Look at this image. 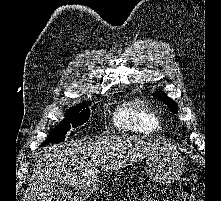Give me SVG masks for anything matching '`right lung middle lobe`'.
<instances>
[{
  "label": "right lung middle lobe",
  "instance_id": "obj_1",
  "mask_svg": "<svg viewBox=\"0 0 221 201\" xmlns=\"http://www.w3.org/2000/svg\"><path fill=\"white\" fill-rule=\"evenodd\" d=\"M90 116V110L86 102L81 103L71 108L67 113L64 121L52 130L48 136V139L43 142V145L49 143L62 142L65 140V134L71 127H77L84 124Z\"/></svg>",
  "mask_w": 221,
  "mask_h": 201
}]
</instances>
